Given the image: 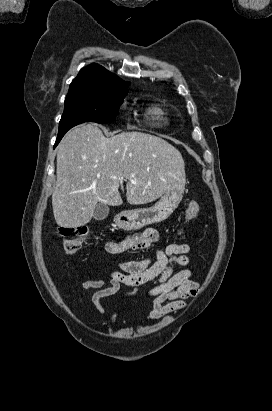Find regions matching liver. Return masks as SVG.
<instances>
[{"label":"liver","mask_w":272,"mask_h":411,"mask_svg":"<svg viewBox=\"0 0 272 411\" xmlns=\"http://www.w3.org/2000/svg\"><path fill=\"white\" fill-rule=\"evenodd\" d=\"M56 179L52 207L63 228L89 223L98 202L122 205L123 181L131 205L153 202L186 181L182 155L166 140L142 132L106 138L94 124L79 125L61 140Z\"/></svg>","instance_id":"liver-1"}]
</instances>
